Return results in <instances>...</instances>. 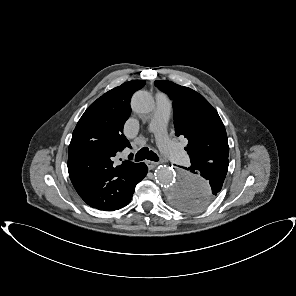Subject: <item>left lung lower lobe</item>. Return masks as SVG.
Returning <instances> with one entry per match:
<instances>
[{"instance_id":"1","label":"left lung lower lobe","mask_w":296,"mask_h":296,"mask_svg":"<svg viewBox=\"0 0 296 296\" xmlns=\"http://www.w3.org/2000/svg\"><path fill=\"white\" fill-rule=\"evenodd\" d=\"M228 165V161H218L214 163L194 162L191 164V167L184 168L194 174H200L210 183V187L207 190H201L191 195L182 192L185 194V198L195 199L196 208H200L204 205L207 206L221 190Z\"/></svg>"}]
</instances>
